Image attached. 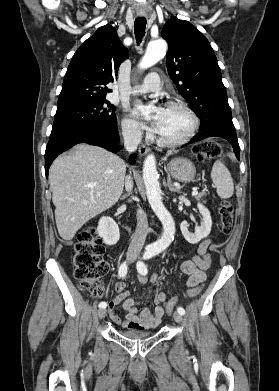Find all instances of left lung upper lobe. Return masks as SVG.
Returning <instances> with one entry per match:
<instances>
[{"instance_id": "left-lung-upper-lobe-1", "label": "left lung upper lobe", "mask_w": 279, "mask_h": 391, "mask_svg": "<svg viewBox=\"0 0 279 391\" xmlns=\"http://www.w3.org/2000/svg\"><path fill=\"white\" fill-rule=\"evenodd\" d=\"M161 35L169 44V76L200 118L201 130L235 131L221 71L206 37L191 23L176 17L164 25Z\"/></svg>"}]
</instances>
